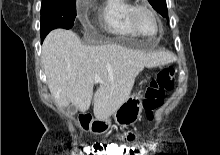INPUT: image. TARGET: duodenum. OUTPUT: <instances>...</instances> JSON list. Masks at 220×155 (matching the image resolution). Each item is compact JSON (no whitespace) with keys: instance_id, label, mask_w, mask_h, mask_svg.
<instances>
[{"instance_id":"duodenum-1","label":"duodenum","mask_w":220,"mask_h":155,"mask_svg":"<svg viewBox=\"0 0 220 155\" xmlns=\"http://www.w3.org/2000/svg\"><path fill=\"white\" fill-rule=\"evenodd\" d=\"M90 120V116L88 115V114H84L83 116H82V121L83 122H88Z\"/></svg>"}]
</instances>
